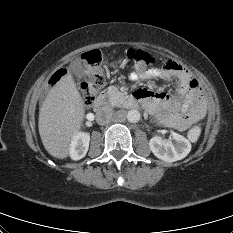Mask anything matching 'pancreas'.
I'll list each match as a JSON object with an SVG mask.
<instances>
[{
    "label": "pancreas",
    "mask_w": 233,
    "mask_h": 233,
    "mask_svg": "<svg viewBox=\"0 0 233 233\" xmlns=\"http://www.w3.org/2000/svg\"><path fill=\"white\" fill-rule=\"evenodd\" d=\"M107 96L109 102L114 106H126L127 105V96H124L117 87L110 86L107 89Z\"/></svg>",
    "instance_id": "cf45deb5"
}]
</instances>
